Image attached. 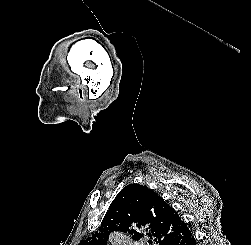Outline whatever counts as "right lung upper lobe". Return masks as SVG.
<instances>
[{"label":"right lung upper lobe","mask_w":251,"mask_h":245,"mask_svg":"<svg viewBox=\"0 0 251 245\" xmlns=\"http://www.w3.org/2000/svg\"><path fill=\"white\" fill-rule=\"evenodd\" d=\"M187 228L178 213L157 193L146 186L130 184L113 200L99 231L79 245H107L113 231L128 232L139 240L142 230L156 237L159 245H165Z\"/></svg>","instance_id":"cb5924a9"}]
</instances>
